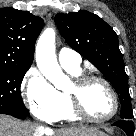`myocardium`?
<instances>
[{"label":"myocardium","mask_w":136,"mask_h":136,"mask_svg":"<svg viewBox=\"0 0 136 136\" xmlns=\"http://www.w3.org/2000/svg\"><path fill=\"white\" fill-rule=\"evenodd\" d=\"M94 82H99L103 84L109 91L112 101H113V110L112 112L104 118H94L90 116L83 105V93L85 89ZM67 97L69 99L70 107L72 109L73 114L80 120L89 122V123H94V124H102L105 122H108L112 120L116 114L118 113L119 110V99L117 96V93L112 86V84L106 80L103 77L96 76V75H79L75 77L72 83L71 89H69L67 92Z\"/></svg>","instance_id":"myocardium-1"}]
</instances>
